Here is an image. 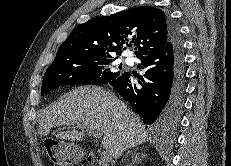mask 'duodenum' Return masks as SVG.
<instances>
[{
  "label": "duodenum",
  "mask_w": 231,
  "mask_h": 166,
  "mask_svg": "<svg viewBox=\"0 0 231 166\" xmlns=\"http://www.w3.org/2000/svg\"><path fill=\"white\" fill-rule=\"evenodd\" d=\"M95 160H96V157H95L94 154L88 155V157H87V162H88L89 164H93V163L95 162Z\"/></svg>",
  "instance_id": "obj_1"
}]
</instances>
